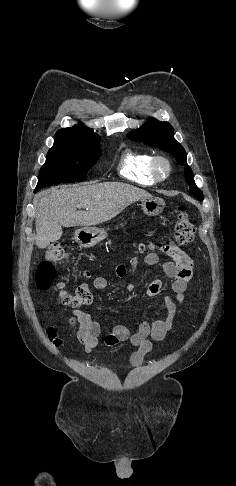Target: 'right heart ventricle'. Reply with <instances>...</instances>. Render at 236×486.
I'll return each mask as SVG.
<instances>
[{
    "label": "right heart ventricle",
    "mask_w": 236,
    "mask_h": 486,
    "mask_svg": "<svg viewBox=\"0 0 236 486\" xmlns=\"http://www.w3.org/2000/svg\"><path fill=\"white\" fill-rule=\"evenodd\" d=\"M153 155L147 151H126L120 162V174L142 186L154 185L157 181L150 173V162Z\"/></svg>",
    "instance_id": "obj_1"
}]
</instances>
